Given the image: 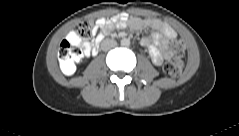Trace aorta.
<instances>
[{
	"instance_id": "1",
	"label": "aorta",
	"mask_w": 239,
	"mask_h": 136,
	"mask_svg": "<svg viewBox=\"0 0 239 136\" xmlns=\"http://www.w3.org/2000/svg\"><path fill=\"white\" fill-rule=\"evenodd\" d=\"M121 45L122 46H129L130 45V40L128 38H123L121 40Z\"/></svg>"
}]
</instances>
